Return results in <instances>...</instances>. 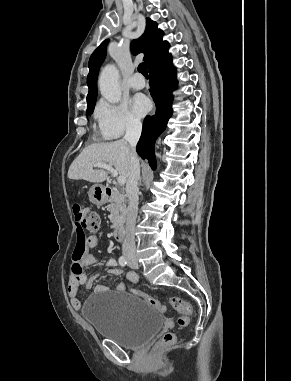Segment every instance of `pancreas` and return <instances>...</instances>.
<instances>
[{"instance_id": "obj_1", "label": "pancreas", "mask_w": 291, "mask_h": 381, "mask_svg": "<svg viewBox=\"0 0 291 381\" xmlns=\"http://www.w3.org/2000/svg\"><path fill=\"white\" fill-rule=\"evenodd\" d=\"M109 211V219L112 223L111 228L115 229L123 224L126 216V205L119 193H115V197L109 205Z\"/></svg>"}]
</instances>
